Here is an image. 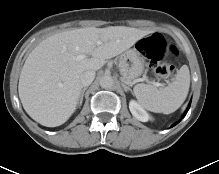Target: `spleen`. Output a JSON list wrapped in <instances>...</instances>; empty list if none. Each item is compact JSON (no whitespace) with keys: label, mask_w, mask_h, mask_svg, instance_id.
I'll return each instance as SVG.
<instances>
[{"label":"spleen","mask_w":219,"mask_h":174,"mask_svg":"<svg viewBox=\"0 0 219 174\" xmlns=\"http://www.w3.org/2000/svg\"><path fill=\"white\" fill-rule=\"evenodd\" d=\"M189 86V68L183 65L168 86L157 88L151 84L140 83L134 86L133 91L139 103L147 110L170 114L183 104Z\"/></svg>","instance_id":"3e777b00"}]
</instances>
